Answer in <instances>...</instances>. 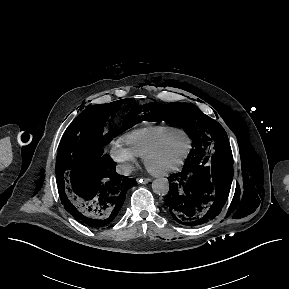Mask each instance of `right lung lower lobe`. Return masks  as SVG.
<instances>
[{
    "mask_svg": "<svg viewBox=\"0 0 289 289\" xmlns=\"http://www.w3.org/2000/svg\"><path fill=\"white\" fill-rule=\"evenodd\" d=\"M136 183L119 175L115 162L102 154L81 162L57 185L65 209L78 222L101 230L120 217L126 193Z\"/></svg>",
    "mask_w": 289,
    "mask_h": 289,
    "instance_id": "obj_1",
    "label": "right lung lower lobe"
}]
</instances>
